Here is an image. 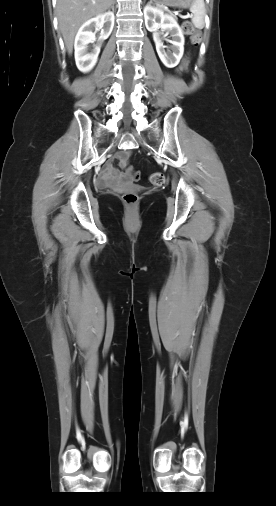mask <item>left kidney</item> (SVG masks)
<instances>
[{"mask_svg": "<svg viewBox=\"0 0 276 506\" xmlns=\"http://www.w3.org/2000/svg\"><path fill=\"white\" fill-rule=\"evenodd\" d=\"M144 19L146 28L153 32L156 50L163 64L169 68L177 66L184 52V36L178 23L174 18L150 4L144 8ZM159 28L171 35L172 52L165 51L160 33L157 31Z\"/></svg>", "mask_w": 276, "mask_h": 506, "instance_id": "1", "label": "left kidney"}]
</instances>
